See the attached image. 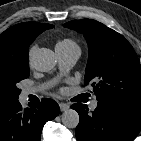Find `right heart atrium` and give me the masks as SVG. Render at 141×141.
<instances>
[{
    "instance_id": "obj_1",
    "label": "right heart atrium",
    "mask_w": 141,
    "mask_h": 141,
    "mask_svg": "<svg viewBox=\"0 0 141 141\" xmlns=\"http://www.w3.org/2000/svg\"><path fill=\"white\" fill-rule=\"evenodd\" d=\"M35 50H36V46L35 45H32L30 48H29V51H28V60L31 61L34 53H35Z\"/></svg>"
}]
</instances>
